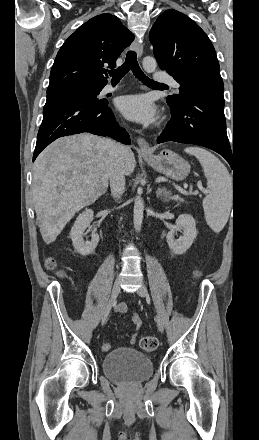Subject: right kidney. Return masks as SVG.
Returning <instances> with one entry per match:
<instances>
[{"mask_svg": "<svg viewBox=\"0 0 259 440\" xmlns=\"http://www.w3.org/2000/svg\"><path fill=\"white\" fill-rule=\"evenodd\" d=\"M92 220L93 211L86 209L79 214L70 232L74 249L82 256L93 253L99 242V235L97 233L92 234L91 241L84 242L83 239V233L87 228H90Z\"/></svg>", "mask_w": 259, "mask_h": 440, "instance_id": "right-kidney-1", "label": "right kidney"}]
</instances>
